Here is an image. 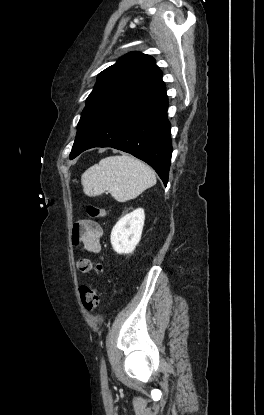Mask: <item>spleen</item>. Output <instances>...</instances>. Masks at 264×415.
Wrapping results in <instances>:
<instances>
[{
    "mask_svg": "<svg viewBox=\"0 0 264 415\" xmlns=\"http://www.w3.org/2000/svg\"><path fill=\"white\" fill-rule=\"evenodd\" d=\"M81 184L88 196L101 195L109 190L115 200L126 202L155 185L156 176L142 161L129 155H117L101 159L87 169Z\"/></svg>",
    "mask_w": 264,
    "mask_h": 415,
    "instance_id": "3e777b00",
    "label": "spleen"
}]
</instances>
